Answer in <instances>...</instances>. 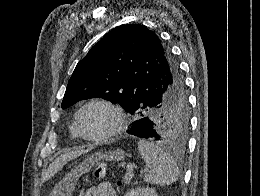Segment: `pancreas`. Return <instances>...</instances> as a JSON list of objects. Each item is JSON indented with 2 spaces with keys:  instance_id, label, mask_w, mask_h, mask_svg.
<instances>
[{
  "instance_id": "1",
  "label": "pancreas",
  "mask_w": 260,
  "mask_h": 196,
  "mask_svg": "<svg viewBox=\"0 0 260 196\" xmlns=\"http://www.w3.org/2000/svg\"><path fill=\"white\" fill-rule=\"evenodd\" d=\"M131 178H133V176H131V174H125V176H123L124 184H129Z\"/></svg>"
}]
</instances>
